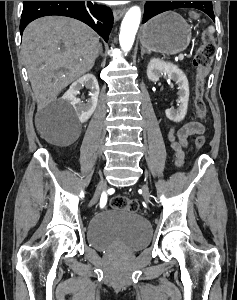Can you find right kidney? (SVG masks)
Here are the masks:
<instances>
[{
    "instance_id": "1",
    "label": "right kidney",
    "mask_w": 237,
    "mask_h": 300,
    "mask_svg": "<svg viewBox=\"0 0 237 300\" xmlns=\"http://www.w3.org/2000/svg\"><path fill=\"white\" fill-rule=\"evenodd\" d=\"M83 87H86L90 91V99H87L86 103L78 97ZM98 95L99 85L96 77L94 75H84V77L72 83L70 89L63 95V99H67L70 105H72L80 123H85L93 115L97 107Z\"/></svg>"
}]
</instances>
